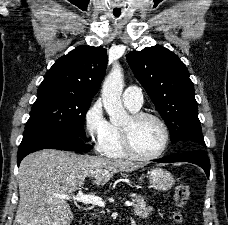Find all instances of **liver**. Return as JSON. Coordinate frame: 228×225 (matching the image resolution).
Instances as JSON below:
<instances>
[{
	"label": "liver",
	"instance_id": "obj_1",
	"mask_svg": "<svg viewBox=\"0 0 228 225\" xmlns=\"http://www.w3.org/2000/svg\"><path fill=\"white\" fill-rule=\"evenodd\" d=\"M137 167L132 161H109L56 149L31 153L19 167L20 199L14 225H70L74 215L57 195H74L86 177H93L94 185H106L115 173Z\"/></svg>",
	"mask_w": 228,
	"mask_h": 225
}]
</instances>
